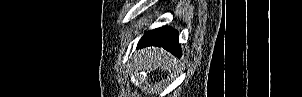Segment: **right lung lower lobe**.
<instances>
[{"instance_id":"1","label":"right lung lower lobe","mask_w":302,"mask_h":97,"mask_svg":"<svg viewBox=\"0 0 302 97\" xmlns=\"http://www.w3.org/2000/svg\"><path fill=\"white\" fill-rule=\"evenodd\" d=\"M152 45L161 46L175 56L180 57L181 55L178 32L170 27L165 26L147 32L139 41L138 48Z\"/></svg>"}]
</instances>
